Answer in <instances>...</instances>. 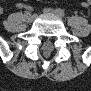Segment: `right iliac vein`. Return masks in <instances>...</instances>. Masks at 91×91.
<instances>
[{"label":"right iliac vein","mask_w":91,"mask_h":91,"mask_svg":"<svg viewBox=\"0 0 91 91\" xmlns=\"http://www.w3.org/2000/svg\"><path fill=\"white\" fill-rule=\"evenodd\" d=\"M25 18L28 22H33L35 20V16L31 14H26Z\"/></svg>","instance_id":"obj_1"}]
</instances>
